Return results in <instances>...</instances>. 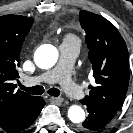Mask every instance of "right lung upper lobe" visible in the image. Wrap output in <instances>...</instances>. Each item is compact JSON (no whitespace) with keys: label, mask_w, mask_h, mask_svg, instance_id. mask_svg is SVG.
<instances>
[{"label":"right lung upper lobe","mask_w":133,"mask_h":133,"mask_svg":"<svg viewBox=\"0 0 133 133\" xmlns=\"http://www.w3.org/2000/svg\"><path fill=\"white\" fill-rule=\"evenodd\" d=\"M33 24V18L20 15L0 17V126L35 97L17 90L20 50Z\"/></svg>","instance_id":"obj_1"}]
</instances>
